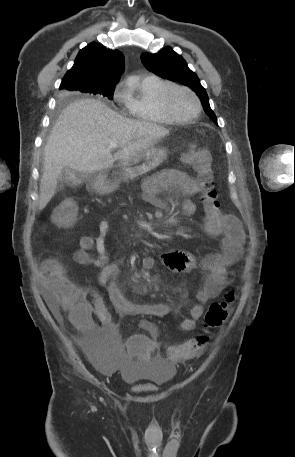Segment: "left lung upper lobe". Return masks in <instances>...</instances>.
<instances>
[{
  "label": "left lung upper lobe",
  "mask_w": 295,
  "mask_h": 457,
  "mask_svg": "<svg viewBox=\"0 0 295 457\" xmlns=\"http://www.w3.org/2000/svg\"><path fill=\"white\" fill-rule=\"evenodd\" d=\"M141 60L148 71L164 79L175 80L189 86L199 96L205 113L217 123V118L210 108L206 90L197 75L188 68L182 56L175 53L172 48L165 47L156 54H142Z\"/></svg>",
  "instance_id": "obj_1"
}]
</instances>
